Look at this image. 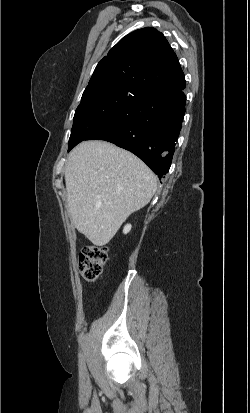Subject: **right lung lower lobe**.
<instances>
[{"label": "right lung lower lobe", "mask_w": 250, "mask_h": 413, "mask_svg": "<svg viewBox=\"0 0 250 413\" xmlns=\"http://www.w3.org/2000/svg\"><path fill=\"white\" fill-rule=\"evenodd\" d=\"M177 87L142 93L86 140H105L129 150L161 179L171 166L179 137L186 96Z\"/></svg>", "instance_id": "98d812e1"}]
</instances>
